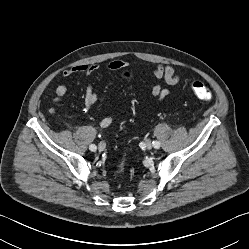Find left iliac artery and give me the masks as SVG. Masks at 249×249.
Instances as JSON below:
<instances>
[{
	"instance_id": "obj_1",
	"label": "left iliac artery",
	"mask_w": 249,
	"mask_h": 249,
	"mask_svg": "<svg viewBox=\"0 0 249 249\" xmlns=\"http://www.w3.org/2000/svg\"><path fill=\"white\" fill-rule=\"evenodd\" d=\"M152 143H153L154 148H156V149L160 148V146H161L159 141H153Z\"/></svg>"
}]
</instances>
